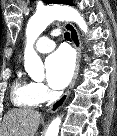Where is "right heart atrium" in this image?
<instances>
[{
    "label": "right heart atrium",
    "mask_w": 117,
    "mask_h": 136,
    "mask_svg": "<svg viewBox=\"0 0 117 136\" xmlns=\"http://www.w3.org/2000/svg\"><path fill=\"white\" fill-rule=\"evenodd\" d=\"M35 87L41 102L46 101L50 97V91L44 84L35 83Z\"/></svg>",
    "instance_id": "d8ad5b80"
}]
</instances>
